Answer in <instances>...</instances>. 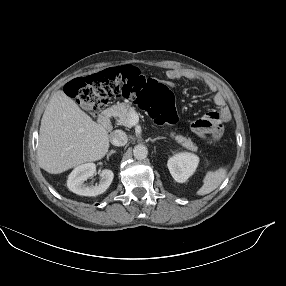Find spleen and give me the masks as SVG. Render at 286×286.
<instances>
[{
    "label": "spleen",
    "instance_id": "1",
    "mask_svg": "<svg viewBox=\"0 0 286 286\" xmlns=\"http://www.w3.org/2000/svg\"><path fill=\"white\" fill-rule=\"evenodd\" d=\"M227 171L225 168H219L216 171H208L203 179L202 187L197 191L198 195H206L215 190L225 179Z\"/></svg>",
    "mask_w": 286,
    "mask_h": 286
}]
</instances>
